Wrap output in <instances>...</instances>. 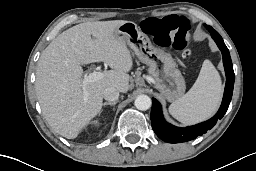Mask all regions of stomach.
Returning <instances> with one entry per match:
<instances>
[{"mask_svg": "<svg viewBox=\"0 0 256 171\" xmlns=\"http://www.w3.org/2000/svg\"><path fill=\"white\" fill-rule=\"evenodd\" d=\"M116 35L130 46L141 62L148 65V73L153 78V86L168 101H176L184 95L185 80L174 59L164 50L155 47L136 23L124 22L117 27Z\"/></svg>", "mask_w": 256, "mask_h": 171, "instance_id": "1", "label": "stomach"}]
</instances>
